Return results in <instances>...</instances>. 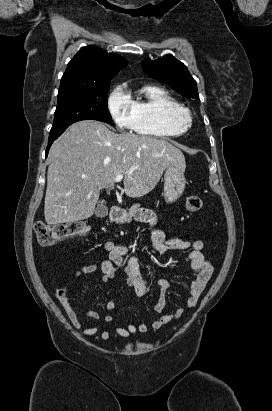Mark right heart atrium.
<instances>
[{"label": "right heart atrium", "instance_id": "obj_1", "mask_svg": "<svg viewBox=\"0 0 272 411\" xmlns=\"http://www.w3.org/2000/svg\"><path fill=\"white\" fill-rule=\"evenodd\" d=\"M107 109L117 128L132 129L134 124V109L130 95L122 85L116 86L109 94Z\"/></svg>", "mask_w": 272, "mask_h": 411}]
</instances>
